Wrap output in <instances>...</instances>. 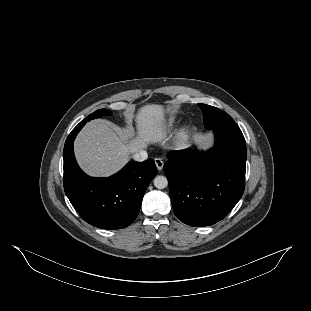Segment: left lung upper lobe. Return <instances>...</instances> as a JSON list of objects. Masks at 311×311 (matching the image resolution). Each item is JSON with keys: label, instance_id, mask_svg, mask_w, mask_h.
Segmentation results:
<instances>
[{"label": "left lung upper lobe", "instance_id": "1", "mask_svg": "<svg viewBox=\"0 0 311 311\" xmlns=\"http://www.w3.org/2000/svg\"><path fill=\"white\" fill-rule=\"evenodd\" d=\"M203 112L204 126L214 129L220 126H238L236 122L224 111L206 104H199Z\"/></svg>", "mask_w": 311, "mask_h": 311}]
</instances>
